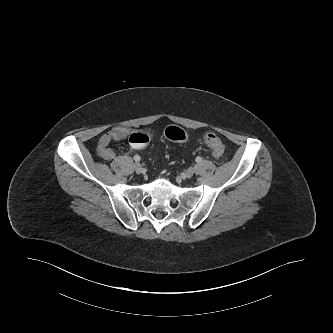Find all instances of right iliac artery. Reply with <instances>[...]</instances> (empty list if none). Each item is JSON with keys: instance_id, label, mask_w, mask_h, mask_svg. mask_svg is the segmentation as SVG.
Instances as JSON below:
<instances>
[{"instance_id": "obj_1", "label": "right iliac artery", "mask_w": 333, "mask_h": 333, "mask_svg": "<svg viewBox=\"0 0 333 333\" xmlns=\"http://www.w3.org/2000/svg\"><path fill=\"white\" fill-rule=\"evenodd\" d=\"M134 160H135L136 162H139V161L141 160V158H140V156L135 155V156H134Z\"/></svg>"}]
</instances>
